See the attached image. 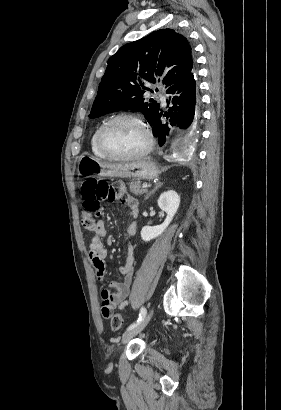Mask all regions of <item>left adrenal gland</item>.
<instances>
[{"label":"left adrenal gland","mask_w":281,"mask_h":410,"mask_svg":"<svg viewBox=\"0 0 281 410\" xmlns=\"http://www.w3.org/2000/svg\"><path fill=\"white\" fill-rule=\"evenodd\" d=\"M162 185H163L162 182H158V183L155 185L154 189H153L152 191H150V192L146 195L145 200H147L152 194H154Z\"/></svg>","instance_id":"obj_1"}]
</instances>
